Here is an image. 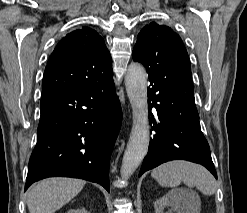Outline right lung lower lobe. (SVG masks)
<instances>
[{"mask_svg":"<svg viewBox=\"0 0 247 213\" xmlns=\"http://www.w3.org/2000/svg\"><path fill=\"white\" fill-rule=\"evenodd\" d=\"M40 107L25 190L38 180L65 176L109 191L110 157L122 120L113 75L57 91L42 98Z\"/></svg>","mask_w":247,"mask_h":213,"instance_id":"obj_1","label":"right lung lower lobe"}]
</instances>
